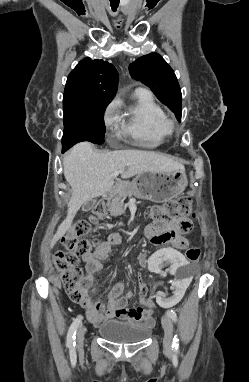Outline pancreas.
<instances>
[{
    "label": "pancreas",
    "instance_id": "cf45deb5",
    "mask_svg": "<svg viewBox=\"0 0 249 382\" xmlns=\"http://www.w3.org/2000/svg\"><path fill=\"white\" fill-rule=\"evenodd\" d=\"M129 195H131V192L129 189H122L116 196L109 199L107 206L111 215L119 216L122 213H124V210H123L124 199Z\"/></svg>",
    "mask_w": 249,
    "mask_h": 382
}]
</instances>
